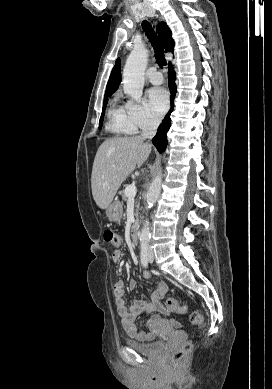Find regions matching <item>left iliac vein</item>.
Listing matches in <instances>:
<instances>
[{
  "label": "left iliac vein",
  "mask_w": 272,
  "mask_h": 389,
  "mask_svg": "<svg viewBox=\"0 0 272 389\" xmlns=\"http://www.w3.org/2000/svg\"><path fill=\"white\" fill-rule=\"evenodd\" d=\"M148 260L150 263H152L154 260V254L151 248H148Z\"/></svg>",
  "instance_id": "1"
}]
</instances>
